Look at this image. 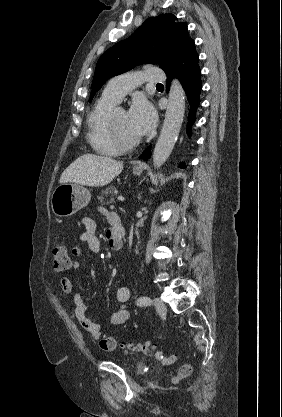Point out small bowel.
Masks as SVG:
<instances>
[{
	"mask_svg": "<svg viewBox=\"0 0 282 417\" xmlns=\"http://www.w3.org/2000/svg\"><path fill=\"white\" fill-rule=\"evenodd\" d=\"M99 211L107 218L110 228L106 232V238L110 247L112 244H117L115 240L116 229L121 225L120 217L114 211H110L104 207H100ZM81 224L83 225V231L79 234V243L74 245L72 253L76 257L82 255L83 246H86L93 254L100 255L102 252V245L99 236L96 234V223L88 216L81 218ZM122 245V243H121ZM122 247V246H121ZM74 270H80L82 263L79 260H74L71 263ZM60 286L62 292L65 295H69L73 292V285L69 278L63 277L60 279ZM117 302L121 307L113 311L110 315L111 325H122L129 319V311L125 307V304L130 298V289L127 286H120L116 290L115 294ZM74 308L70 311V317L78 322L82 328H84L91 337L96 340L106 339L101 323L89 313L87 302L81 293H74L73 295Z\"/></svg>",
	"mask_w": 282,
	"mask_h": 417,
	"instance_id": "small-bowel-1",
	"label": "small bowel"
}]
</instances>
